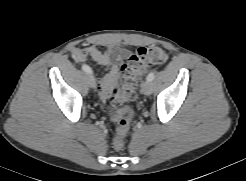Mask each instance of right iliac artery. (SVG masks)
<instances>
[{
  "label": "right iliac artery",
  "mask_w": 246,
  "mask_h": 181,
  "mask_svg": "<svg viewBox=\"0 0 246 181\" xmlns=\"http://www.w3.org/2000/svg\"><path fill=\"white\" fill-rule=\"evenodd\" d=\"M82 69L83 71L89 73V74H92V69L88 66V65H82Z\"/></svg>",
  "instance_id": "right-iliac-artery-1"
}]
</instances>
